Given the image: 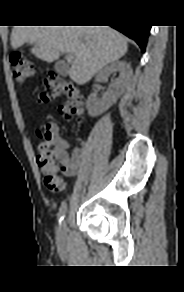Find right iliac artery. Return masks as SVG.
I'll list each match as a JSON object with an SVG mask.
<instances>
[{
	"instance_id": "82829eb1",
	"label": "right iliac artery",
	"mask_w": 184,
	"mask_h": 292,
	"mask_svg": "<svg viewBox=\"0 0 184 292\" xmlns=\"http://www.w3.org/2000/svg\"><path fill=\"white\" fill-rule=\"evenodd\" d=\"M66 211H67V204L65 201H63L58 213L59 222H61L64 219Z\"/></svg>"
}]
</instances>
